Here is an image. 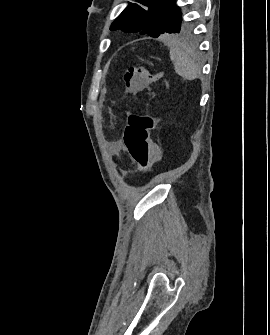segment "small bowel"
Masks as SVG:
<instances>
[{
  "label": "small bowel",
  "instance_id": "1",
  "mask_svg": "<svg viewBox=\"0 0 270 335\" xmlns=\"http://www.w3.org/2000/svg\"><path fill=\"white\" fill-rule=\"evenodd\" d=\"M113 148H114V150H116V151L121 150V148H122V143H121L120 141H116V142H114V144H113Z\"/></svg>",
  "mask_w": 270,
  "mask_h": 335
}]
</instances>
